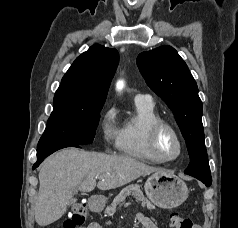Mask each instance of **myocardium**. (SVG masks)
Returning <instances> with one entry per match:
<instances>
[{
    "label": "myocardium",
    "instance_id": "1",
    "mask_svg": "<svg viewBox=\"0 0 238 228\" xmlns=\"http://www.w3.org/2000/svg\"><path fill=\"white\" fill-rule=\"evenodd\" d=\"M164 132H168L178 145V153L175 157H164L159 151V139ZM148 146L151 153L161 162H172L181 157L184 150L182 138L177 130L168 122L161 120L153 124L149 130Z\"/></svg>",
    "mask_w": 238,
    "mask_h": 228
}]
</instances>
